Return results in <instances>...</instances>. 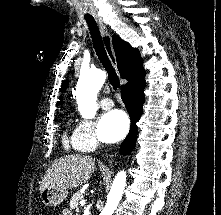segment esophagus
<instances>
[{
    "label": "esophagus",
    "instance_id": "34e87169",
    "mask_svg": "<svg viewBox=\"0 0 221 215\" xmlns=\"http://www.w3.org/2000/svg\"><path fill=\"white\" fill-rule=\"evenodd\" d=\"M99 28H100V33L102 36L106 53L112 65L114 66V68L117 69V61H116V57H115L113 46H112L111 36H110L107 26L101 20L99 21Z\"/></svg>",
    "mask_w": 221,
    "mask_h": 215
}]
</instances>
